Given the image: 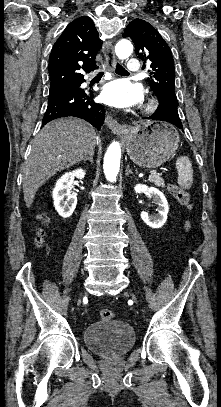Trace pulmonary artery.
<instances>
[{
	"mask_svg": "<svg viewBox=\"0 0 221 407\" xmlns=\"http://www.w3.org/2000/svg\"><path fill=\"white\" fill-rule=\"evenodd\" d=\"M127 68L130 73H139L140 62L137 59H130L127 63Z\"/></svg>",
	"mask_w": 221,
	"mask_h": 407,
	"instance_id": "pulmonary-artery-1",
	"label": "pulmonary artery"
}]
</instances>
